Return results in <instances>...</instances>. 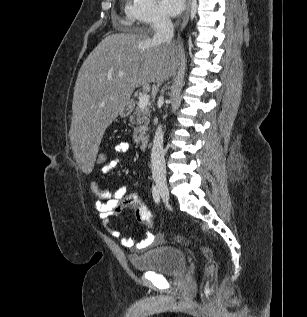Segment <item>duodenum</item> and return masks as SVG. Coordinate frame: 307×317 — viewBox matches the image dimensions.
Wrapping results in <instances>:
<instances>
[{
  "mask_svg": "<svg viewBox=\"0 0 307 317\" xmlns=\"http://www.w3.org/2000/svg\"><path fill=\"white\" fill-rule=\"evenodd\" d=\"M148 145V138L146 136H143L140 138V146L143 148H146Z\"/></svg>",
  "mask_w": 307,
  "mask_h": 317,
  "instance_id": "410a0bca",
  "label": "duodenum"
}]
</instances>
